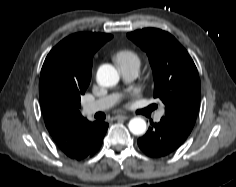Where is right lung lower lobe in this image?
<instances>
[{"label":"right lung lower lobe","mask_w":236,"mask_h":187,"mask_svg":"<svg viewBox=\"0 0 236 187\" xmlns=\"http://www.w3.org/2000/svg\"><path fill=\"white\" fill-rule=\"evenodd\" d=\"M107 128L108 124L103 121H95L93 123L87 134L84 152L79 160L91 157L99 150Z\"/></svg>","instance_id":"98d812e1"}]
</instances>
